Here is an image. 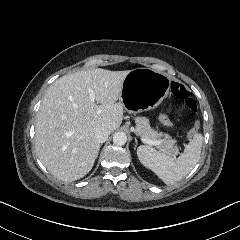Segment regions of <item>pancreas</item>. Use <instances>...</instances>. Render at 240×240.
Masks as SVG:
<instances>
[{"instance_id":"obj_1","label":"pancreas","mask_w":240,"mask_h":240,"mask_svg":"<svg viewBox=\"0 0 240 240\" xmlns=\"http://www.w3.org/2000/svg\"><path fill=\"white\" fill-rule=\"evenodd\" d=\"M135 120L137 135H142L148 140L158 141L159 144L156 145V148L170 157L179 154L180 150L176 145V140L171 139V137L164 132H157L150 129L148 118L145 116H137Z\"/></svg>"}]
</instances>
